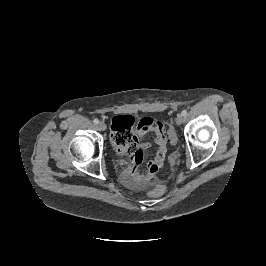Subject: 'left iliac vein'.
Masks as SVG:
<instances>
[{
	"mask_svg": "<svg viewBox=\"0 0 266 266\" xmlns=\"http://www.w3.org/2000/svg\"><path fill=\"white\" fill-rule=\"evenodd\" d=\"M176 124L181 125L184 122V117L182 114H178L176 117Z\"/></svg>",
	"mask_w": 266,
	"mask_h": 266,
	"instance_id": "left-iliac-vein-1",
	"label": "left iliac vein"
}]
</instances>
